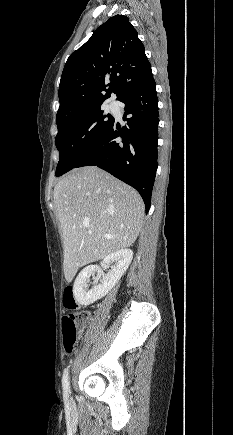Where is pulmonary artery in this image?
Here are the masks:
<instances>
[{"label": "pulmonary artery", "mask_w": 233, "mask_h": 435, "mask_svg": "<svg viewBox=\"0 0 233 435\" xmlns=\"http://www.w3.org/2000/svg\"><path fill=\"white\" fill-rule=\"evenodd\" d=\"M109 107H110V108L113 107V104H110Z\"/></svg>", "instance_id": "e3ab8cb5"}]
</instances>
